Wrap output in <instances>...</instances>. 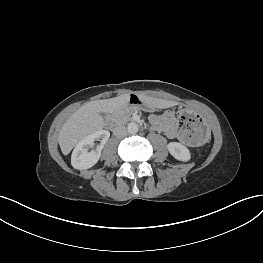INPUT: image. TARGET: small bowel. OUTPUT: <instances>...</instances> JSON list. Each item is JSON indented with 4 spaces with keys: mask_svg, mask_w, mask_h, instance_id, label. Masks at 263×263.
<instances>
[{
    "mask_svg": "<svg viewBox=\"0 0 263 263\" xmlns=\"http://www.w3.org/2000/svg\"><path fill=\"white\" fill-rule=\"evenodd\" d=\"M175 118L173 114L169 111L163 113L162 115H151L150 122L158 130H161L170 139H179L184 141L181 132H178L173 127V122Z\"/></svg>",
    "mask_w": 263,
    "mask_h": 263,
    "instance_id": "c3829d8e",
    "label": "small bowel"
}]
</instances>
